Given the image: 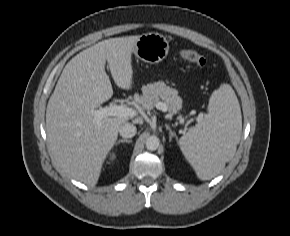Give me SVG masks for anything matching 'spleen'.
I'll return each instance as SVG.
<instances>
[{
	"mask_svg": "<svg viewBox=\"0 0 290 236\" xmlns=\"http://www.w3.org/2000/svg\"><path fill=\"white\" fill-rule=\"evenodd\" d=\"M242 131L240 104L228 84L215 90L208 113L179 140L185 158L201 180L219 174L235 155Z\"/></svg>",
	"mask_w": 290,
	"mask_h": 236,
	"instance_id": "spleen-1",
	"label": "spleen"
}]
</instances>
